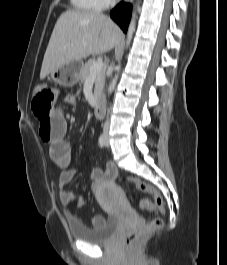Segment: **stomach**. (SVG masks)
<instances>
[{"label":"stomach","instance_id":"1","mask_svg":"<svg viewBox=\"0 0 227 265\" xmlns=\"http://www.w3.org/2000/svg\"><path fill=\"white\" fill-rule=\"evenodd\" d=\"M82 67V61H73L53 70L50 73V77L55 83L65 87H70L79 81Z\"/></svg>","mask_w":227,"mask_h":265}]
</instances>
